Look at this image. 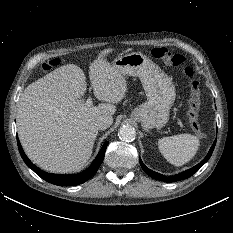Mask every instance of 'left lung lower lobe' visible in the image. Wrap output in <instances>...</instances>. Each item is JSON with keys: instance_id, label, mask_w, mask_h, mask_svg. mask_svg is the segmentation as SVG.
<instances>
[{"instance_id": "0a47b994", "label": "left lung lower lobe", "mask_w": 233, "mask_h": 233, "mask_svg": "<svg viewBox=\"0 0 233 233\" xmlns=\"http://www.w3.org/2000/svg\"><path fill=\"white\" fill-rule=\"evenodd\" d=\"M215 144H216V140L215 142L213 143L212 147L210 148L207 156L199 163L197 164L196 166H194L193 168L191 169H188L178 175H174V176H170V177H166V176H163L159 173H156L152 170H150L149 168H147L142 160L139 158V161H140V164H141V167L143 168V170L149 175L151 176L152 178L154 179H157L159 181H164V182H175V181H179V180H182V179H186L190 176H192L196 171H198L208 160L209 158L211 157L212 155V152L214 150V147H215Z\"/></svg>"}]
</instances>
